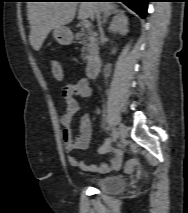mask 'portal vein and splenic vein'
I'll use <instances>...</instances> for the list:
<instances>
[{
	"label": "portal vein and splenic vein",
	"instance_id": "portal-vein-and-splenic-vein-1",
	"mask_svg": "<svg viewBox=\"0 0 188 213\" xmlns=\"http://www.w3.org/2000/svg\"><path fill=\"white\" fill-rule=\"evenodd\" d=\"M81 23H82V25H83L84 28H89L90 25H91L90 22H89L88 20H82Z\"/></svg>",
	"mask_w": 188,
	"mask_h": 213
}]
</instances>
